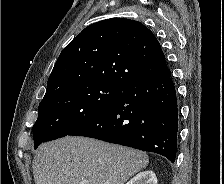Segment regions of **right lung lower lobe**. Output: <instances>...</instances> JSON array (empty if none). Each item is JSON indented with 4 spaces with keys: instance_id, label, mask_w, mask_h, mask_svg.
Segmentation results:
<instances>
[{
    "instance_id": "98d812e1",
    "label": "right lung lower lobe",
    "mask_w": 224,
    "mask_h": 184,
    "mask_svg": "<svg viewBox=\"0 0 224 184\" xmlns=\"http://www.w3.org/2000/svg\"><path fill=\"white\" fill-rule=\"evenodd\" d=\"M178 106L171 74L127 85L99 115L69 135L154 152L175 162Z\"/></svg>"
}]
</instances>
